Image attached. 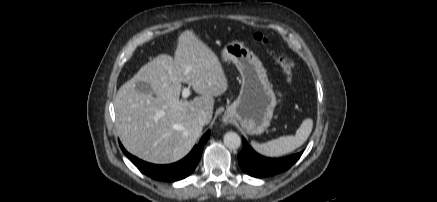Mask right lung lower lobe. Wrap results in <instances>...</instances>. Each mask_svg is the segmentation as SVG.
Listing matches in <instances>:
<instances>
[{
    "mask_svg": "<svg viewBox=\"0 0 437 202\" xmlns=\"http://www.w3.org/2000/svg\"><path fill=\"white\" fill-rule=\"evenodd\" d=\"M208 130L202 137L200 143L195 145L191 152L182 160L169 165H155L138 159L128 153L121 143L120 147L124 154L134 163V165L145 175L159 181H178L189 176L200 160L205 143L209 139Z\"/></svg>",
    "mask_w": 437,
    "mask_h": 202,
    "instance_id": "1",
    "label": "right lung lower lobe"
}]
</instances>
